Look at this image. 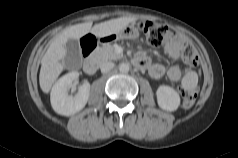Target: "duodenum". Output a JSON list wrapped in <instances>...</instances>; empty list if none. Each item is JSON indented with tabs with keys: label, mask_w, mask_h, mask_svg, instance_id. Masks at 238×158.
<instances>
[{
	"label": "duodenum",
	"mask_w": 238,
	"mask_h": 158,
	"mask_svg": "<svg viewBox=\"0 0 238 158\" xmlns=\"http://www.w3.org/2000/svg\"><path fill=\"white\" fill-rule=\"evenodd\" d=\"M104 41L101 40L99 42H97V45L103 43ZM94 46H96V42L94 44ZM135 64L138 66V67H143V63L141 62V60L137 59L135 61ZM83 68H84V71L89 74V75H92L94 74L96 71H97V63L94 59L92 58H88L85 60L84 62V65H83Z\"/></svg>",
	"instance_id": "obj_1"
}]
</instances>
